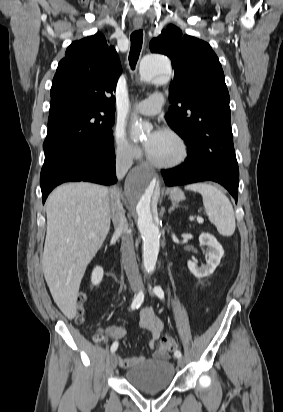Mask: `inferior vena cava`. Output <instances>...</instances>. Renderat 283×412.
Masks as SVG:
<instances>
[{
  "mask_svg": "<svg viewBox=\"0 0 283 412\" xmlns=\"http://www.w3.org/2000/svg\"><path fill=\"white\" fill-rule=\"evenodd\" d=\"M132 164L133 158L128 151L124 150L117 152L116 175L119 180L125 176ZM109 203L110 215L115 231L120 233L122 238L121 253L124 270L130 285L140 287L142 285V280L136 262L134 241L120 200V190L117 187L111 189Z\"/></svg>",
  "mask_w": 283,
  "mask_h": 412,
  "instance_id": "1",
  "label": "inferior vena cava"
}]
</instances>
